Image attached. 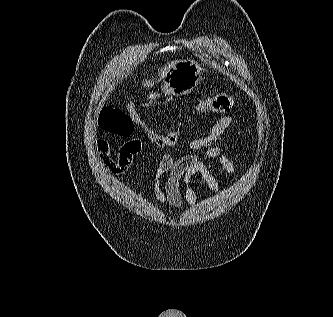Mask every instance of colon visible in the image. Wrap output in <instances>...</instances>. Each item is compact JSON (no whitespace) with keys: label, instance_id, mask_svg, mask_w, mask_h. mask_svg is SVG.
I'll return each mask as SVG.
<instances>
[{"label":"colon","instance_id":"colon-1","mask_svg":"<svg viewBox=\"0 0 333 317\" xmlns=\"http://www.w3.org/2000/svg\"><path fill=\"white\" fill-rule=\"evenodd\" d=\"M234 102L235 99L231 94L223 92L200 100L196 109L202 113L227 114ZM98 121L102 130L120 137L132 135L135 125H144L134 104H128L125 108L104 107L100 111ZM150 138L161 148H173L178 142L176 132H152Z\"/></svg>","mask_w":333,"mask_h":317}]
</instances>
